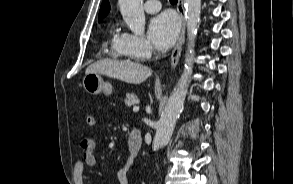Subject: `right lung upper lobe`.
I'll use <instances>...</instances> for the list:
<instances>
[{
  "label": "right lung upper lobe",
  "mask_w": 293,
  "mask_h": 184,
  "mask_svg": "<svg viewBox=\"0 0 293 184\" xmlns=\"http://www.w3.org/2000/svg\"><path fill=\"white\" fill-rule=\"evenodd\" d=\"M109 11H110V5L108 0H103L101 8H100V12H99V20L104 18L108 14Z\"/></svg>",
  "instance_id": "right-lung-upper-lobe-1"
}]
</instances>
